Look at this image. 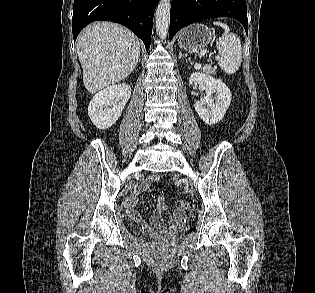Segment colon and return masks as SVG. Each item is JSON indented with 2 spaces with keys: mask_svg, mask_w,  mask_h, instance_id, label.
I'll return each mask as SVG.
<instances>
[{
  "mask_svg": "<svg viewBox=\"0 0 315 293\" xmlns=\"http://www.w3.org/2000/svg\"><path fill=\"white\" fill-rule=\"evenodd\" d=\"M176 205H177V211H186L189 206L188 202L184 199H179L176 202Z\"/></svg>",
  "mask_w": 315,
  "mask_h": 293,
  "instance_id": "1",
  "label": "colon"
}]
</instances>
